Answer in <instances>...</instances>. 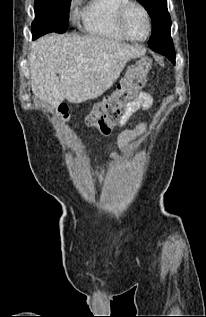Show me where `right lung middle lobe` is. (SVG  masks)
<instances>
[{"instance_id":"dd1d6c3e","label":"right lung middle lobe","mask_w":206,"mask_h":317,"mask_svg":"<svg viewBox=\"0 0 206 317\" xmlns=\"http://www.w3.org/2000/svg\"><path fill=\"white\" fill-rule=\"evenodd\" d=\"M71 0H35L33 39L49 32L64 33L68 28Z\"/></svg>"}]
</instances>
